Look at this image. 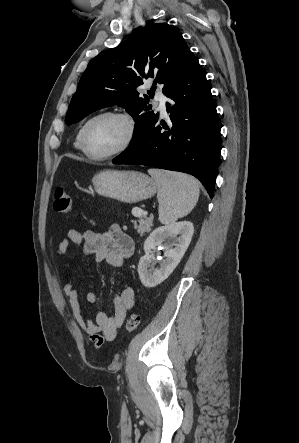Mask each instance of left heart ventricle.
Segmentation results:
<instances>
[{"mask_svg":"<svg viewBox=\"0 0 299 443\" xmlns=\"http://www.w3.org/2000/svg\"><path fill=\"white\" fill-rule=\"evenodd\" d=\"M127 133L126 124L115 117H102L93 121L86 133L88 149L97 155L109 153L118 148Z\"/></svg>","mask_w":299,"mask_h":443,"instance_id":"1","label":"left heart ventricle"}]
</instances>
